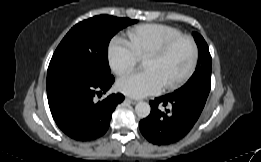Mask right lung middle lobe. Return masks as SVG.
Here are the masks:
<instances>
[{
    "label": "right lung middle lobe",
    "instance_id": "1",
    "mask_svg": "<svg viewBox=\"0 0 261 162\" xmlns=\"http://www.w3.org/2000/svg\"><path fill=\"white\" fill-rule=\"evenodd\" d=\"M136 20L99 15L76 24L63 38L50 61L47 83L78 74L96 81L111 76L107 49L111 38Z\"/></svg>",
    "mask_w": 261,
    "mask_h": 162
}]
</instances>
